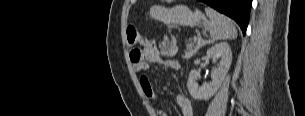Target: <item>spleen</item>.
Listing matches in <instances>:
<instances>
[{"mask_svg":"<svg viewBox=\"0 0 305 116\" xmlns=\"http://www.w3.org/2000/svg\"><path fill=\"white\" fill-rule=\"evenodd\" d=\"M205 13L209 18L210 31V38L206 43L235 39L237 37V30L232 19L210 7L205 8Z\"/></svg>","mask_w":305,"mask_h":116,"instance_id":"obj_1","label":"spleen"}]
</instances>
